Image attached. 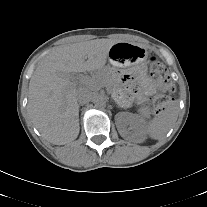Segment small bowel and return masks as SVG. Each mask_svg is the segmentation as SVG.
<instances>
[{"mask_svg": "<svg viewBox=\"0 0 207 207\" xmlns=\"http://www.w3.org/2000/svg\"><path fill=\"white\" fill-rule=\"evenodd\" d=\"M139 81H140L139 90L135 91L133 88H127L120 93V97L122 99L127 100L133 95H136L140 100H144L147 96L151 95L155 91L156 86L154 82L149 78L140 74Z\"/></svg>", "mask_w": 207, "mask_h": 207, "instance_id": "1", "label": "small bowel"}]
</instances>
